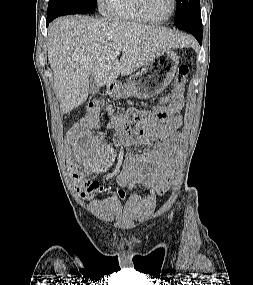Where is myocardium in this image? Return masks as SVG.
<instances>
[{
  "label": "myocardium",
  "instance_id": "myocardium-1",
  "mask_svg": "<svg viewBox=\"0 0 253 285\" xmlns=\"http://www.w3.org/2000/svg\"><path fill=\"white\" fill-rule=\"evenodd\" d=\"M172 2V8H171V12L170 14L165 17V18H155L153 17L149 11H148V8H147V0H139V7H140V10L142 12V14L149 20V21H152V22H157V23H162V22H166L168 21L175 13L176 11V8H177V0H171Z\"/></svg>",
  "mask_w": 253,
  "mask_h": 285
}]
</instances>
